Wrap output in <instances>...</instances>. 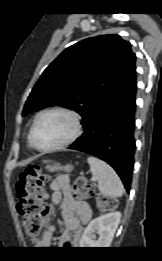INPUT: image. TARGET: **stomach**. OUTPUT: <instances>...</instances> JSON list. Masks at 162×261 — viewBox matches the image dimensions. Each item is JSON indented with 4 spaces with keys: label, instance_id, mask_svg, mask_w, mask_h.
<instances>
[{
    "label": "stomach",
    "instance_id": "obj_1",
    "mask_svg": "<svg viewBox=\"0 0 162 261\" xmlns=\"http://www.w3.org/2000/svg\"><path fill=\"white\" fill-rule=\"evenodd\" d=\"M46 169H48L50 172L59 171V170H63L65 172H70L72 170V166L71 165L60 166V165L54 164V165H47Z\"/></svg>",
    "mask_w": 162,
    "mask_h": 261
}]
</instances>
